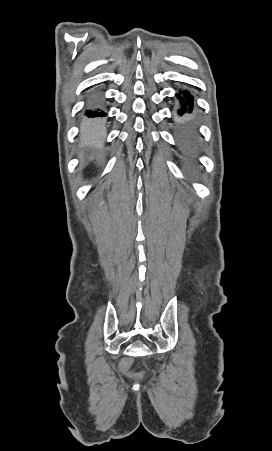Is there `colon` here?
Listing matches in <instances>:
<instances>
[{
  "label": "colon",
  "mask_w": 272,
  "mask_h": 451,
  "mask_svg": "<svg viewBox=\"0 0 272 451\" xmlns=\"http://www.w3.org/2000/svg\"><path fill=\"white\" fill-rule=\"evenodd\" d=\"M119 364H120L122 367H125V366L128 364V361H127L125 358H122V359L119 361ZM123 370H125V369H123Z\"/></svg>",
  "instance_id": "5ec220e1"
}]
</instances>
